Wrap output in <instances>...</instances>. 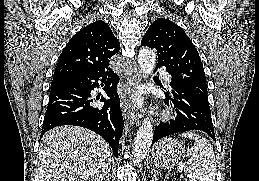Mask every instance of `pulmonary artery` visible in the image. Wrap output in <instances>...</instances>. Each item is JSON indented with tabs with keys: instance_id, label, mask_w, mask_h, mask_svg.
I'll use <instances>...</instances> for the list:
<instances>
[{
	"instance_id": "e3ab8cb5",
	"label": "pulmonary artery",
	"mask_w": 259,
	"mask_h": 181,
	"mask_svg": "<svg viewBox=\"0 0 259 181\" xmlns=\"http://www.w3.org/2000/svg\"><path fill=\"white\" fill-rule=\"evenodd\" d=\"M162 75H163V78L167 81V82H170L171 81V76L165 72V71H161Z\"/></svg>"
}]
</instances>
